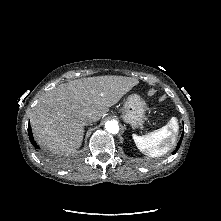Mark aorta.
<instances>
[{"mask_svg": "<svg viewBox=\"0 0 221 221\" xmlns=\"http://www.w3.org/2000/svg\"><path fill=\"white\" fill-rule=\"evenodd\" d=\"M105 129L109 133L117 134L119 131V125L116 121L110 120L105 123Z\"/></svg>", "mask_w": 221, "mask_h": 221, "instance_id": "obj_1", "label": "aorta"}]
</instances>
